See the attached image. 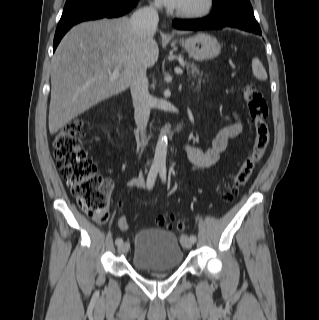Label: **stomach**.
Returning a JSON list of instances; mask_svg holds the SVG:
<instances>
[{
	"label": "stomach",
	"instance_id": "1",
	"mask_svg": "<svg viewBox=\"0 0 319 320\" xmlns=\"http://www.w3.org/2000/svg\"><path fill=\"white\" fill-rule=\"evenodd\" d=\"M179 44L189 57L205 61L217 57L221 52V45L215 37L207 33H198L189 38H182Z\"/></svg>",
	"mask_w": 319,
	"mask_h": 320
}]
</instances>
